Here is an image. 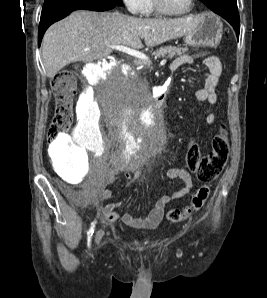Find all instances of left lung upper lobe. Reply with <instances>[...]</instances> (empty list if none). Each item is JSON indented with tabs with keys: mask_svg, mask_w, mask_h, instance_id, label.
Returning a JSON list of instances; mask_svg holds the SVG:
<instances>
[{
	"mask_svg": "<svg viewBox=\"0 0 267 298\" xmlns=\"http://www.w3.org/2000/svg\"><path fill=\"white\" fill-rule=\"evenodd\" d=\"M208 8L217 14H224L230 10L237 9L236 0H200Z\"/></svg>",
	"mask_w": 267,
	"mask_h": 298,
	"instance_id": "1",
	"label": "left lung upper lobe"
}]
</instances>
